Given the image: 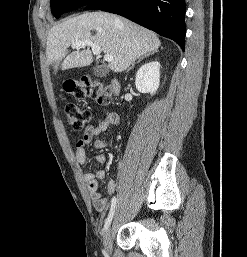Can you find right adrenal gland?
Masks as SVG:
<instances>
[{
  "label": "right adrenal gland",
  "instance_id": "1",
  "mask_svg": "<svg viewBox=\"0 0 247 257\" xmlns=\"http://www.w3.org/2000/svg\"><path fill=\"white\" fill-rule=\"evenodd\" d=\"M151 54H152V53H148V54L143 55L142 57L138 58V60H137L136 63H139V62L142 61L143 59L149 57ZM134 64H135V62L131 64V67H129V68L127 69V72H128L130 69H132V67L134 66Z\"/></svg>",
  "mask_w": 247,
  "mask_h": 257
}]
</instances>
